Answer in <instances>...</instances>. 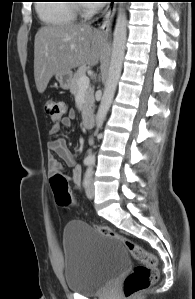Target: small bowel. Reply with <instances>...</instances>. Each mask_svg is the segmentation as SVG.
I'll return each mask as SVG.
<instances>
[{"mask_svg":"<svg viewBox=\"0 0 195 299\" xmlns=\"http://www.w3.org/2000/svg\"><path fill=\"white\" fill-rule=\"evenodd\" d=\"M74 114L70 113L68 116L64 117L60 122L54 123L50 128V134L55 135L57 134L61 127H70L72 124ZM48 150L51 153L57 154L68 167L73 169V173L71 176V181L73 182L74 186L77 189H80L81 183V170L76 163V160L73 154L70 152L66 145V141L64 138L59 137L51 142L48 143ZM49 168L52 171H58L61 169L59 163L54 160L52 156L49 157Z\"/></svg>","mask_w":195,"mask_h":299,"instance_id":"1","label":"small bowel"}]
</instances>
